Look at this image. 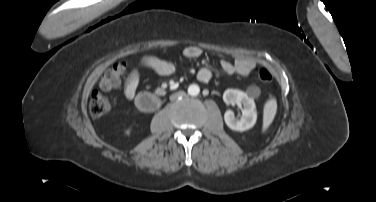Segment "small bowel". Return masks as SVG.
Masks as SVG:
<instances>
[{"mask_svg": "<svg viewBox=\"0 0 376 202\" xmlns=\"http://www.w3.org/2000/svg\"><path fill=\"white\" fill-rule=\"evenodd\" d=\"M202 50L197 46H187L183 49V56L187 59H196L200 57ZM140 65L148 67L161 76H169L175 73L176 65L170 61L162 60L156 56L148 55L144 56ZM220 69L227 75H248L255 67V62L247 58H239L234 63L226 60H222L219 63ZM140 71L138 69L133 70L127 77L124 84V94L126 98L133 99L137 93V89L140 83ZM196 77L199 81L207 83L213 79V71L207 67L200 68Z\"/></svg>", "mask_w": 376, "mask_h": 202, "instance_id": "1", "label": "small bowel"}]
</instances>
